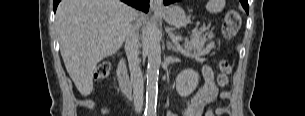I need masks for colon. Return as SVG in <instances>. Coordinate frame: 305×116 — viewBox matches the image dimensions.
<instances>
[{
  "label": "colon",
  "mask_w": 305,
  "mask_h": 116,
  "mask_svg": "<svg viewBox=\"0 0 305 116\" xmlns=\"http://www.w3.org/2000/svg\"><path fill=\"white\" fill-rule=\"evenodd\" d=\"M241 26V17L238 12L229 10L226 12L222 26V33L226 39H232ZM232 72V65L227 60L219 63V74L217 76V84L219 87H225L229 82V75ZM110 74V64L107 62L99 63L94 70V79H104Z\"/></svg>",
  "instance_id": "obj_1"
}]
</instances>
